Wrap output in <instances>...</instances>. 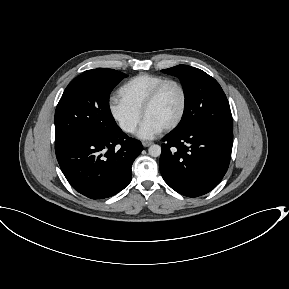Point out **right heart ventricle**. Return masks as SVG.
Here are the masks:
<instances>
[{
    "label": "right heart ventricle",
    "instance_id": "right-heart-ventricle-1",
    "mask_svg": "<svg viewBox=\"0 0 289 289\" xmlns=\"http://www.w3.org/2000/svg\"><path fill=\"white\" fill-rule=\"evenodd\" d=\"M166 78L161 75L141 73L138 74L117 90V96L121 102L130 108L141 112L142 105L150 91Z\"/></svg>",
    "mask_w": 289,
    "mask_h": 289
}]
</instances>
